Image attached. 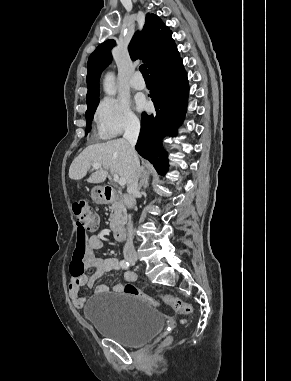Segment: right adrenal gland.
Segmentation results:
<instances>
[{
  "label": "right adrenal gland",
  "instance_id": "2a0ac1e0",
  "mask_svg": "<svg viewBox=\"0 0 291 381\" xmlns=\"http://www.w3.org/2000/svg\"><path fill=\"white\" fill-rule=\"evenodd\" d=\"M148 186H149V174L147 172H144L141 177L138 189L140 190L142 187L147 188Z\"/></svg>",
  "mask_w": 291,
  "mask_h": 381
}]
</instances>
